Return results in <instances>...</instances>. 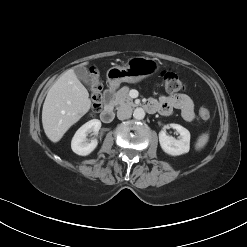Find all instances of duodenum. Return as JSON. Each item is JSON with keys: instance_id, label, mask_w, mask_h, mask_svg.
<instances>
[{"instance_id": "duodenum-1", "label": "duodenum", "mask_w": 247, "mask_h": 247, "mask_svg": "<svg viewBox=\"0 0 247 247\" xmlns=\"http://www.w3.org/2000/svg\"><path fill=\"white\" fill-rule=\"evenodd\" d=\"M113 91L114 86L110 84L103 95L104 107L101 112V119L104 123H110L114 119V108L113 104L111 103ZM146 108L151 110L149 109L148 105H146Z\"/></svg>"}]
</instances>
